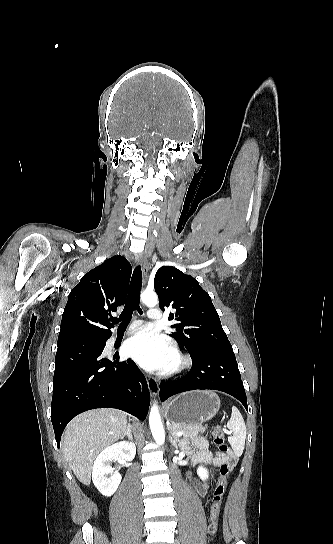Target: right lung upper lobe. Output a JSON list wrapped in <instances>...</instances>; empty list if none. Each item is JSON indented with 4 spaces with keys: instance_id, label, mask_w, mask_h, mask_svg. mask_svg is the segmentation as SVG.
Returning a JSON list of instances; mask_svg holds the SVG:
<instances>
[{
    "instance_id": "1",
    "label": "right lung upper lobe",
    "mask_w": 333,
    "mask_h": 544,
    "mask_svg": "<svg viewBox=\"0 0 333 544\" xmlns=\"http://www.w3.org/2000/svg\"><path fill=\"white\" fill-rule=\"evenodd\" d=\"M131 271L124 257L113 256L81 278L68 296L58 346L111 337L108 315L124 304Z\"/></svg>"
}]
</instances>
